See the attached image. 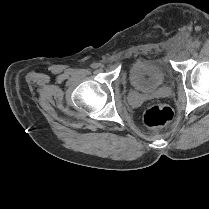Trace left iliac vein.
Here are the masks:
<instances>
[{
  "mask_svg": "<svg viewBox=\"0 0 209 209\" xmlns=\"http://www.w3.org/2000/svg\"><path fill=\"white\" fill-rule=\"evenodd\" d=\"M189 51L192 52L193 51V46L189 48Z\"/></svg>",
  "mask_w": 209,
  "mask_h": 209,
  "instance_id": "obj_1",
  "label": "left iliac vein"
}]
</instances>
